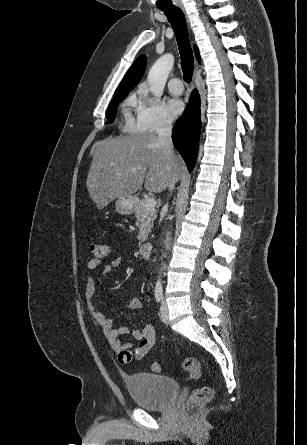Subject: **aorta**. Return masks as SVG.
Listing matches in <instances>:
<instances>
[{
  "label": "aorta",
  "mask_w": 307,
  "mask_h": 445,
  "mask_svg": "<svg viewBox=\"0 0 307 445\" xmlns=\"http://www.w3.org/2000/svg\"><path fill=\"white\" fill-rule=\"evenodd\" d=\"M174 60V54L166 52V54H162L160 58H157L156 62H154L148 72L147 82L152 94L156 96L157 100H159L160 96L163 94L164 86L170 74V70L173 68ZM160 275L161 273H159V277L155 283V291H162L163 289Z\"/></svg>",
  "instance_id": "aorta-1"
}]
</instances>
